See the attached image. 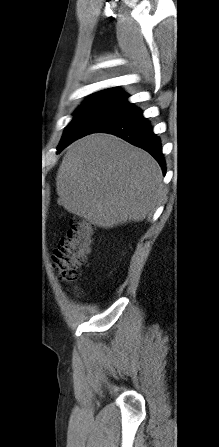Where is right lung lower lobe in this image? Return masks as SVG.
Returning a JSON list of instances; mask_svg holds the SVG:
<instances>
[{
  "mask_svg": "<svg viewBox=\"0 0 219 447\" xmlns=\"http://www.w3.org/2000/svg\"><path fill=\"white\" fill-rule=\"evenodd\" d=\"M96 132L114 134L135 146L143 148L157 160L165 175L166 167L161 151L160 140L153 133L149 121L144 118L142 111L139 109H135L129 114L109 122Z\"/></svg>",
  "mask_w": 219,
  "mask_h": 447,
  "instance_id": "obj_1",
  "label": "right lung lower lobe"
}]
</instances>
